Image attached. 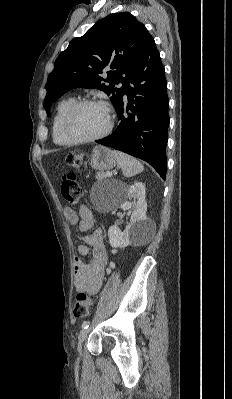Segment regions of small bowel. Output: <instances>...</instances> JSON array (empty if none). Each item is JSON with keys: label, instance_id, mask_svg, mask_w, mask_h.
Listing matches in <instances>:
<instances>
[{"label": "small bowel", "instance_id": "small-bowel-1", "mask_svg": "<svg viewBox=\"0 0 232 399\" xmlns=\"http://www.w3.org/2000/svg\"><path fill=\"white\" fill-rule=\"evenodd\" d=\"M82 219L79 225L81 231H86L94 227L95 221L90 215V205L80 202ZM66 214L71 213V209L65 210ZM88 246L93 248L91 262L86 264L78 258L73 260V287L77 293L89 292L92 295L99 293L103 283L104 266L107 261V254L103 247L102 231L97 229L91 235L81 236L78 244V252L87 255Z\"/></svg>", "mask_w": 232, "mask_h": 399}]
</instances>
